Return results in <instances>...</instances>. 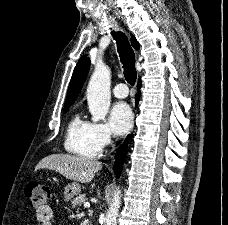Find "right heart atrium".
Returning a JSON list of instances; mask_svg holds the SVG:
<instances>
[{"label": "right heart atrium", "mask_w": 228, "mask_h": 225, "mask_svg": "<svg viewBox=\"0 0 228 225\" xmlns=\"http://www.w3.org/2000/svg\"><path fill=\"white\" fill-rule=\"evenodd\" d=\"M94 131L95 138L101 147L110 144L112 140V132L110 127L104 122L91 123Z\"/></svg>", "instance_id": "1"}]
</instances>
